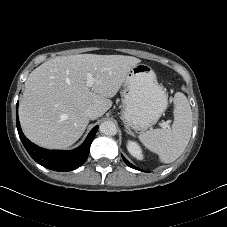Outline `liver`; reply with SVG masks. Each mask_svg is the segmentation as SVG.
I'll list each match as a JSON object with an SVG mask.
<instances>
[{
    "label": "liver",
    "instance_id": "obj_1",
    "mask_svg": "<svg viewBox=\"0 0 227 227\" xmlns=\"http://www.w3.org/2000/svg\"><path fill=\"white\" fill-rule=\"evenodd\" d=\"M140 59L124 55L79 54L50 59L34 69L25 82L19 119L26 137L35 144L64 149L85 131V110L94 107L102 116L127 74ZM93 75L92 87L86 85Z\"/></svg>",
    "mask_w": 227,
    "mask_h": 227
}]
</instances>
